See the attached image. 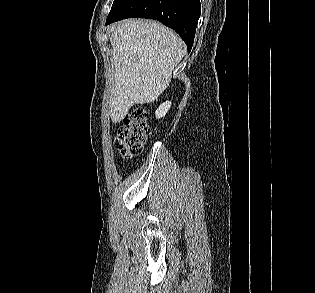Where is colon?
<instances>
[{"label":"colon","instance_id":"5ec220e1","mask_svg":"<svg viewBox=\"0 0 315 293\" xmlns=\"http://www.w3.org/2000/svg\"><path fill=\"white\" fill-rule=\"evenodd\" d=\"M149 134L145 111L134 109L124 117L123 125L117 132L115 146L122 157H134L142 152Z\"/></svg>","mask_w":315,"mask_h":293}]
</instances>
